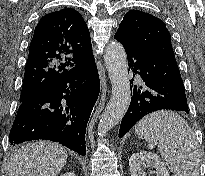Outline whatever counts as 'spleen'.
I'll use <instances>...</instances> for the list:
<instances>
[{
  "mask_svg": "<svg viewBox=\"0 0 205 176\" xmlns=\"http://www.w3.org/2000/svg\"><path fill=\"white\" fill-rule=\"evenodd\" d=\"M135 133L157 145L174 176H199L200 152L194 131L172 111H157L135 125Z\"/></svg>",
  "mask_w": 205,
  "mask_h": 176,
  "instance_id": "spleen-1",
  "label": "spleen"
}]
</instances>
